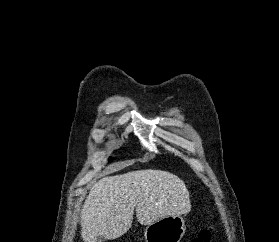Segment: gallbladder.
Listing matches in <instances>:
<instances>
[{"instance_id": "gallbladder-1", "label": "gallbladder", "mask_w": 279, "mask_h": 242, "mask_svg": "<svg viewBox=\"0 0 279 242\" xmlns=\"http://www.w3.org/2000/svg\"><path fill=\"white\" fill-rule=\"evenodd\" d=\"M103 241V238L102 237H100V236H97L96 237V242H102Z\"/></svg>"}]
</instances>
